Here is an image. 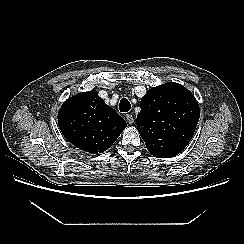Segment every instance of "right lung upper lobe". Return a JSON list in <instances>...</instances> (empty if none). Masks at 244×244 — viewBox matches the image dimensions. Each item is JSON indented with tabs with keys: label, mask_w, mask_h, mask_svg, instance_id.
Here are the masks:
<instances>
[{
	"label": "right lung upper lobe",
	"mask_w": 244,
	"mask_h": 244,
	"mask_svg": "<svg viewBox=\"0 0 244 244\" xmlns=\"http://www.w3.org/2000/svg\"><path fill=\"white\" fill-rule=\"evenodd\" d=\"M58 125L70 143L92 154L107 150L127 126L96 91L67 99L58 113Z\"/></svg>",
	"instance_id": "right-lung-upper-lobe-1"
}]
</instances>
